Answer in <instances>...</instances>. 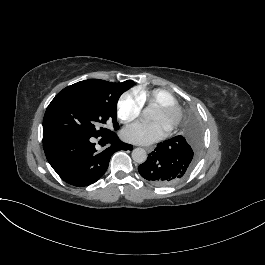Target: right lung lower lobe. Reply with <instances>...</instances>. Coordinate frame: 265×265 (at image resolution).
<instances>
[{"instance_id": "right-lung-lower-lobe-1", "label": "right lung lower lobe", "mask_w": 265, "mask_h": 265, "mask_svg": "<svg viewBox=\"0 0 265 265\" xmlns=\"http://www.w3.org/2000/svg\"><path fill=\"white\" fill-rule=\"evenodd\" d=\"M100 137L105 144H110L102 152L95 149L93 137L58 138L44 143L43 148L48 162L61 179L77 187L88 186L106 172L114 152L133 149L132 145L122 142L114 132Z\"/></svg>"}]
</instances>
